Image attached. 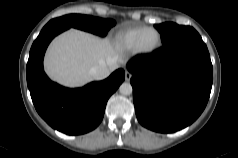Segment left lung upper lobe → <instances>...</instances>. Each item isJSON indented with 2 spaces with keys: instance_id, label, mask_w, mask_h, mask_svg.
<instances>
[{
  "instance_id": "obj_1",
  "label": "left lung upper lobe",
  "mask_w": 238,
  "mask_h": 158,
  "mask_svg": "<svg viewBox=\"0 0 238 158\" xmlns=\"http://www.w3.org/2000/svg\"><path fill=\"white\" fill-rule=\"evenodd\" d=\"M155 28L160 32L163 44H167L175 38L195 32L190 26H180L172 22L155 25Z\"/></svg>"
}]
</instances>
